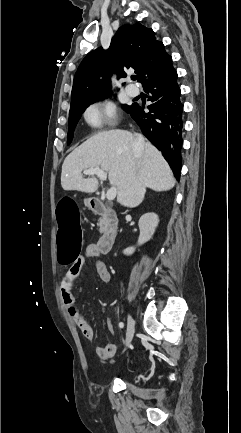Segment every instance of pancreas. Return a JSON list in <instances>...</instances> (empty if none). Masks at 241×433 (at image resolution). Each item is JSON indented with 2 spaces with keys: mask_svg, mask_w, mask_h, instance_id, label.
<instances>
[{
  "mask_svg": "<svg viewBox=\"0 0 241 433\" xmlns=\"http://www.w3.org/2000/svg\"><path fill=\"white\" fill-rule=\"evenodd\" d=\"M104 231V225L102 222L99 223V232L102 233Z\"/></svg>",
  "mask_w": 241,
  "mask_h": 433,
  "instance_id": "pancreas-1",
  "label": "pancreas"
}]
</instances>
